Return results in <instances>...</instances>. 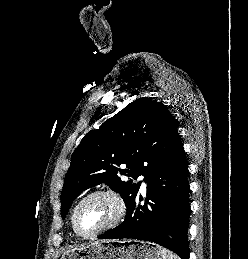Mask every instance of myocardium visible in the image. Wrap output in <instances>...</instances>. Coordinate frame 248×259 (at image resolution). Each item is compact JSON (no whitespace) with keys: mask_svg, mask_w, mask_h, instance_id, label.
Listing matches in <instances>:
<instances>
[{"mask_svg":"<svg viewBox=\"0 0 248 259\" xmlns=\"http://www.w3.org/2000/svg\"><path fill=\"white\" fill-rule=\"evenodd\" d=\"M96 196H108V197L112 198L117 204V214L110 223H108L107 225H105L104 227L99 229L98 231H96L92 234H84L79 230V228L77 226V221H76L77 212L85 201H87L90 198L96 197ZM126 211H127L126 203H125L123 197L117 191H115L113 189H109V188L97 189V190H94V191L88 193L87 195H85L76 204V206L73 210V213H72V217H71L72 227L78 236L85 238V239H92V238H95V237L115 228L116 226H118L121 223V221L124 219V217L126 215Z\"/></svg>","mask_w":248,"mask_h":259,"instance_id":"f54148a6","label":"myocardium"}]
</instances>
